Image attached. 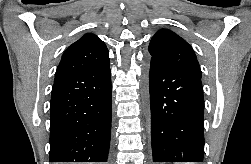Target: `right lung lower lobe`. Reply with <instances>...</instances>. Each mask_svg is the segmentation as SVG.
Returning a JSON list of instances; mask_svg holds the SVG:
<instances>
[{"mask_svg":"<svg viewBox=\"0 0 251 164\" xmlns=\"http://www.w3.org/2000/svg\"><path fill=\"white\" fill-rule=\"evenodd\" d=\"M50 113V162H107L111 136L109 64L55 81Z\"/></svg>","mask_w":251,"mask_h":164,"instance_id":"98d812e1","label":"right lung lower lobe"}]
</instances>
